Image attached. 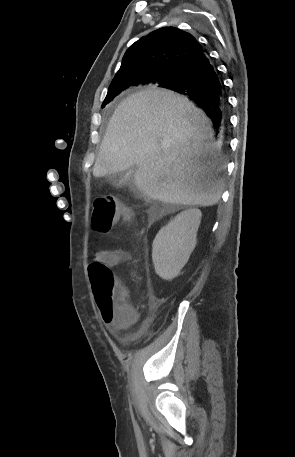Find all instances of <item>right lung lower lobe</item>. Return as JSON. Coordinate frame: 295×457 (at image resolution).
I'll return each mask as SVG.
<instances>
[{"instance_id":"right-lung-lower-lobe-1","label":"right lung lower lobe","mask_w":295,"mask_h":457,"mask_svg":"<svg viewBox=\"0 0 295 457\" xmlns=\"http://www.w3.org/2000/svg\"><path fill=\"white\" fill-rule=\"evenodd\" d=\"M188 96L210 117L218 127L227 120V100L224 85L218 71L207 54L192 59L172 81L160 86Z\"/></svg>"}]
</instances>
